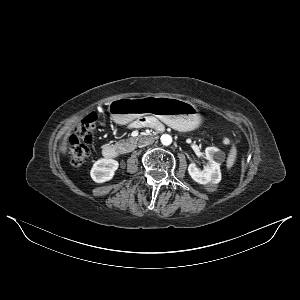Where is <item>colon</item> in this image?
<instances>
[{
    "label": "colon",
    "instance_id": "obj_1",
    "mask_svg": "<svg viewBox=\"0 0 300 300\" xmlns=\"http://www.w3.org/2000/svg\"><path fill=\"white\" fill-rule=\"evenodd\" d=\"M96 124L97 117L90 115L77 125L75 133L68 138L69 157L73 166L82 165L89 157Z\"/></svg>",
    "mask_w": 300,
    "mask_h": 300
}]
</instances>
